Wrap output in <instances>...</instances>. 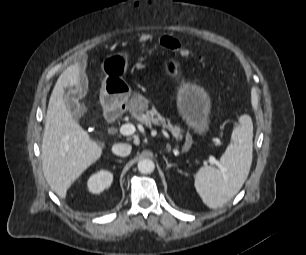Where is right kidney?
I'll use <instances>...</instances> for the list:
<instances>
[{"instance_id": "right-kidney-1", "label": "right kidney", "mask_w": 306, "mask_h": 255, "mask_svg": "<svg viewBox=\"0 0 306 255\" xmlns=\"http://www.w3.org/2000/svg\"><path fill=\"white\" fill-rule=\"evenodd\" d=\"M113 181V174L109 171L101 170L88 179L87 186L90 192L99 194L108 188Z\"/></svg>"}]
</instances>
